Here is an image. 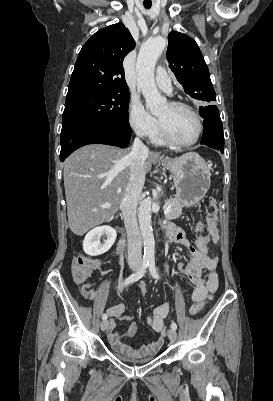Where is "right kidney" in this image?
Instances as JSON below:
<instances>
[{"label": "right kidney", "instance_id": "ca27d5eb", "mask_svg": "<svg viewBox=\"0 0 273 401\" xmlns=\"http://www.w3.org/2000/svg\"><path fill=\"white\" fill-rule=\"evenodd\" d=\"M103 235H106V239L104 243H101L100 239ZM116 237V231L112 227H95V229L87 233L83 241V251L90 257L103 255V253L111 249Z\"/></svg>", "mask_w": 273, "mask_h": 401}]
</instances>
